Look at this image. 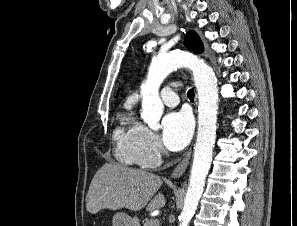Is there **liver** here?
<instances>
[{
  "label": "liver",
  "mask_w": 297,
  "mask_h": 226,
  "mask_svg": "<svg viewBox=\"0 0 297 226\" xmlns=\"http://www.w3.org/2000/svg\"><path fill=\"white\" fill-rule=\"evenodd\" d=\"M162 179L144 170L123 167L115 163L104 164L94 175L86 198V209L96 214L102 209L127 208L147 211L164 207L166 199L156 192Z\"/></svg>",
  "instance_id": "1"
}]
</instances>
